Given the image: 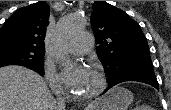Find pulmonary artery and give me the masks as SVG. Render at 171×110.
<instances>
[{"label": "pulmonary artery", "mask_w": 171, "mask_h": 110, "mask_svg": "<svg viewBox=\"0 0 171 110\" xmlns=\"http://www.w3.org/2000/svg\"><path fill=\"white\" fill-rule=\"evenodd\" d=\"M93 39L89 33H79L74 36L67 44V48L72 54H85L91 50Z\"/></svg>", "instance_id": "obj_1"}]
</instances>
